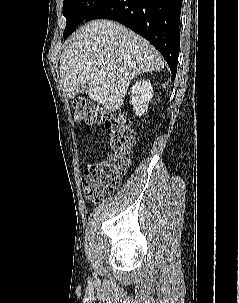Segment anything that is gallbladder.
Returning a JSON list of instances; mask_svg holds the SVG:
<instances>
[{"label":"gallbladder","mask_w":239,"mask_h":303,"mask_svg":"<svg viewBox=\"0 0 239 303\" xmlns=\"http://www.w3.org/2000/svg\"><path fill=\"white\" fill-rule=\"evenodd\" d=\"M87 85L86 84H84V85H80L79 86V91L81 92V93H87Z\"/></svg>","instance_id":"1"}]
</instances>
